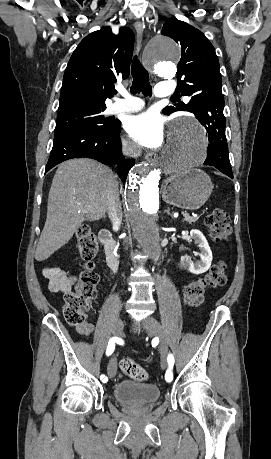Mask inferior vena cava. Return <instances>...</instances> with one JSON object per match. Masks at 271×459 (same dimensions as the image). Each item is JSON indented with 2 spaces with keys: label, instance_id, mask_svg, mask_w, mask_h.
<instances>
[{
  "label": "inferior vena cava",
  "instance_id": "obj_1",
  "mask_svg": "<svg viewBox=\"0 0 271 459\" xmlns=\"http://www.w3.org/2000/svg\"><path fill=\"white\" fill-rule=\"evenodd\" d=\"M117 190L118 182L113 184L109 192V198L106 202V210L109 214V218H111L112 224H121L122 222L121 204Z\"/></svg>",
  "mask_w": 271,
  "mask_h": 459
}]
</instances>
